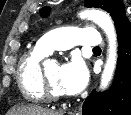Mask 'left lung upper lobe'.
<instances>
[{"instance_id":"1","label":"left lung upper lobe","mask_w":131,"mask_h":115,"mask_svg":"<svg viewBox=\"0 0 131 115\" xmlns=\"http://www.w3.org/2000/svg\"><path fill=\"white\" fill-rule=\"evenodd\" d=\"M84 4L86 7H97L109 12L114 20L115 28L123 19L127 18L122 0H85ZM48 12L49 9L46 7L40 10L42 15H46Z\"/></svg>"}]
</instances>
